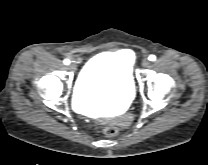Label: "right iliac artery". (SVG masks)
Masks as SVG:
<instances>
[{
	"instance_id": "82829eb1",
	"label": "right iliac artery",
	"mask_w": 208,
	"mask_h": 165,
	"mask_svg": "<svg viewBox=\"0 0 208 165\" xmlns=\"http://www.w3.org/2000/svg\"><path fill=\"white\" fill-rule=\"evenodd\" d=\"M63 62H64L65 65H69L70 64V61L68 59H65Z\"/></svg>"
}]
</instances>
